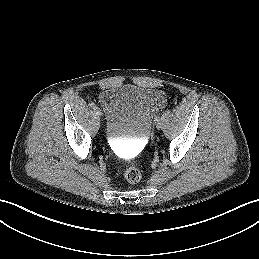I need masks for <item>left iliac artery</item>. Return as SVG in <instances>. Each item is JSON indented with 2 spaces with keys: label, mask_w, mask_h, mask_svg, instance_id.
Listing matches in <instances>:
<instances>
[{
  "label": "left iliac artery",
  "mask_w": 259,
  "mask_h": 259,
  "mask_svg": "<svg viewBox=\"0 0 259 259\" xmlns=\"http://www.w3.org/2000/svg\"><path fill=\"white\" fill-rule=\"evenodd\" d=\"M155 121L160 122V116H156Z\"/></svg>",
  "instance_id": "1"
}]
</instances>
